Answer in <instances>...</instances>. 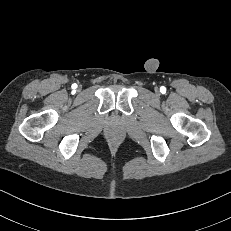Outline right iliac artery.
<instances>
[{"instance_id": "right-iliac-artery-1", "label": "right iliac artery", "mask_w": 231, "mask_h": 231, "mask_svg": "<svg viewBox=\"0 0 231 231\" xmlns=\"http://www.w3.org/2000/svg\"><path fill=\"white\" fill-rule=\"evenodd\" d=\"M72 88H73V89L77 88V85H76V84H73V85H72Z\"/></svg>"}]
</instances>
